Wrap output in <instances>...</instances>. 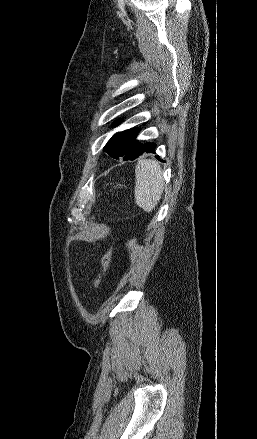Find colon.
Masks as SVG:
<instances>
[{"label":"colon","instance_id":"1","mask_svg":"<svg viewBox=\"0 0 257 439\" xmlns=\"http://www.w3.org/2000/svg\"><path fill=\"white\" fill-rule=\"evenodd\" d=\"M111 252H112V249L111 248L108 249L102 255V257L100 259V272L96 276V278L94 279V286L95 287L99 286V284L101 283V281H102V279H103V277H104V275H105V273L107 271V268H108V265H109V262H110V259H111Z\"/></svg>","mask_w":257,"mask_h":439}]
</instances>
